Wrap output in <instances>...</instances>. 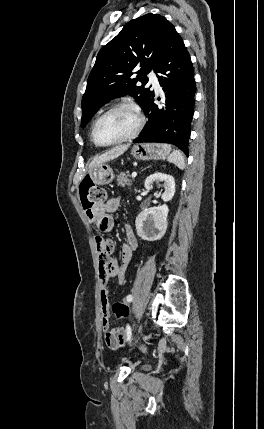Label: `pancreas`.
Returning a JSON list of instances; mask_svg holds the SVG:
<instances>
[{"label": "pancreas", "mask_w": 264, "mask_h": 429, "mask_svg": "<svg viewBox=\"0 0 264 429\" xmlns=\"http://www.w3.org/2000/svg\"><path fill=\"white\" fill-rule=\"evenodd\" d=\"M130 175L128 172H121L117 175L118 186L124 187L125 185H131Z\"/></svg>", "instance_id": "cf45deb5"}]
</instances>
